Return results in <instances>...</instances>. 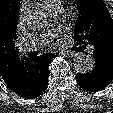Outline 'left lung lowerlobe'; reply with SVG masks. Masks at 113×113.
<instances>
[{
	"mask_svg": "<svg viewBox=\"0 0 113 113\" xmlns=\"http://www.w3.org/2000/svg\"><path fill=\"white\" fill-rule=\"evenodd\" d=\"M82 50L84 44L76 43ZM95 60L94 69L86 74H77L76 80L81 88L90 92L100 91L106 88L113 80V48L103 43L91 44Z\"/></svg>",
	"mask_w": 113,
	"mask_h": 113,
	"instance_id": "0a47b994",
	"label": "left lung lower lobe"
}]
</instances>
